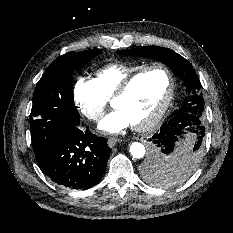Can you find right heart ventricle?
Returning <instances> with one entry per match:
<instances>
[{"instance_id":"1","label":"right heart ventricle","mask_w":233,"mask_h":233,"mask_svg":"<svg viewBox=\"0 0 233 233\" xmlns=\"http://www.w3.org/2000/svg\"><path fill=\"white\" fill-rule=\"evenodd\" d=\"M145 65L109 64L95 72L94 81L100 94L110 100L122 82Z\"/></svg>"}]
</instances>
